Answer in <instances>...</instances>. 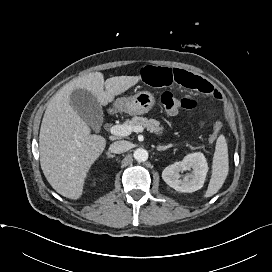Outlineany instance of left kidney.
Instances as JSON below:
<instances>
[{
  "label": "left kidney",
  "instance_id": "5707ae66",
  "mask_svg": "<svg viewBox=\"0 0 272 272\" xmlns=\"http://www.w3.org/2000/svg\"><path fill=\"white\" fill-rule=\"evenodd\" d=\"M192 170V174L180 179L179 172ZM208 164L201 152L188 154L180 162L167 166L162 172L163 180L178 192L191 193L203 187Z\"/></svg>",
  "mask_w": 272,
  "mask_h": 272
}]
</instances>
